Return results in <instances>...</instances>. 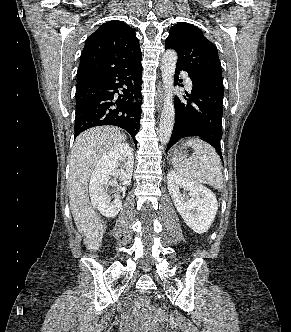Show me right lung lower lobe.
I'll use <instances>...</instances> for the list:
<instances>
[{"label":"right lung lower lobe","instance_id":"obj_1","mask_svg":"<svg viewBox=\"0 0 291 332\" xmlns=\"http://www.w3.org/2000/svg\"><path fill=\"white\" fill-rule=\"evenodd\" d=\"M141 76L140 60L127 68L77 78L75 138L91 127L114 125L125 129L137 146L142 110L141 103L132 100L142 99Z\"/></svg>","mask_w":291,"mask_h":332}]
</instances>
